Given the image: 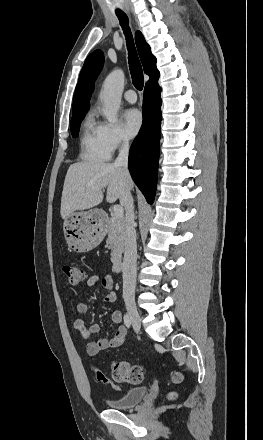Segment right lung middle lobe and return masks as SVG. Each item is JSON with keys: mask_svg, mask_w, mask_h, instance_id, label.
<instances>
[{"mask_svg": "<svg viewBox=\"0 0 263 440\" xmlns=\"http://www.w3.org/2000/svg\"><path fill=\"white\" fill-rule=\"evenodd\" d=\"M84 116H85V114H81V115H77V116L72 117V119H71V134L73 137L78 136L80 123L83 120Z\"/></svg>", "mask_w": 263, "mask_h": 440, "instance_id": "dd1d6c3e", "label": "right lung middle lobe"}]
</instances>
